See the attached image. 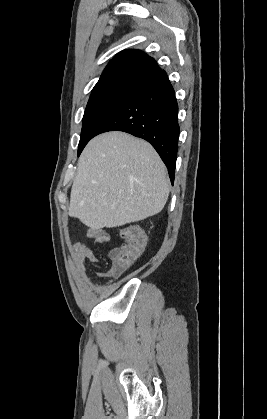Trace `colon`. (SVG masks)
<instances>
[{"label": "colon", "mask_w": 267, "mask_h": 419, "mask_svg": "<svg viewBox=\"0 0 267 419\" xmlns=\"http://www.w3.org/2000/svg\"><path fill=\"white\" fill-rule=\"evenodd\" d=\"M123 244L110 253L111 269L120 274L130 267L143 253L146 238L136 224L124 226L120 231Z\"/></svg>", "instance_id": "1"}]
</instances>
